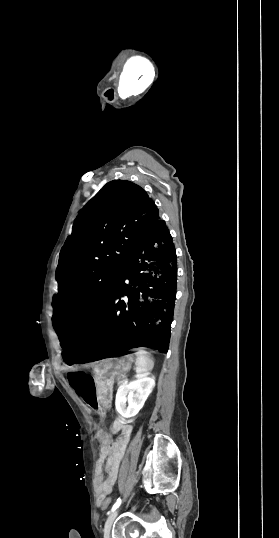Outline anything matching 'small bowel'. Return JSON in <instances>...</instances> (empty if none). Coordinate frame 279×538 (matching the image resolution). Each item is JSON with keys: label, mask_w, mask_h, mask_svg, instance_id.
Instances as JSON below:
<instances>
[{"label": "small bowel", "mask_w": 279, "mask_h": 538, "mask_svg": "<svg viewBox=\"0 0 279 538\" xmlns=\"http://www.w3.org/2000/svg\"><path fill=\"white\" fill-rule=\"evenodd\" d=\"M68 381L74 393L102 419L105 416V409L98 401L94 378L86 372L78 371L70 373ZM111 432L120 433L115 441H108V433L101 428H98L96 432V437L100 441L97 461V492L100 501H103L113 490L118 478L120 462L129 444L133 427L130 424L115 422L111 427ZM103 466L107 474L106 477L103 474Z\"/></svg>", "instance_id": "c3829d8e"}]
</instances>
